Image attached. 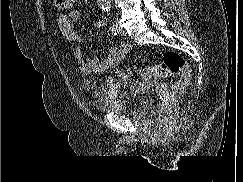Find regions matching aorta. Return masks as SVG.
Masks as SVG:
<instances>
[{"mask_svg":"<svg viewBox=\"0 0 243 182\" xmlns=\"http://www.w3.org/2000/svg\"><path fill=\"white\" fill-rule=\"evenodd\" d=\"M97 3L104 12L109 11L111 0H97Z\"/></svg>","mask_w":243,"mask_h":182,"instance_id":"1","label":"aorta"}]
</instances>
